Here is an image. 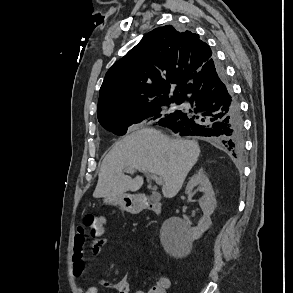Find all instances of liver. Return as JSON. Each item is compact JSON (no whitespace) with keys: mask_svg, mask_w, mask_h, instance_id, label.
I'll return each mask as SVG.
<instances>
[{"mask_svg":"<svg viewBox=\"0 0 293 293\" xmlns=\"http://www.w3.org/2000/svg\"><path fill=\"white\" fill-rule=\"evenodd\" d=\"M199 155L196 141L170 139L158 130L142 128L116 142L106 155L93 197H113L139 190L144 183L143 177L132 179L122 172L136 169L162 177L164 197L173 198Z\"/></svg>","mask_w":293,"mask_h":293,"instance_id":"6515ba94","label":"liver"}]
</instances>
